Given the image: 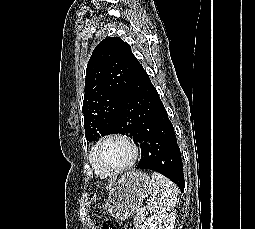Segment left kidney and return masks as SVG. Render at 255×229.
I'll return each mask as SVG.
<instances>
[{"label":"left kidney","instance_id":"5707ae66","mask_svg":"<svg viewBox=\"0 0 255 229\" xmlns=\"http://www.w3.org/2000/svg\"><path fill=\"white\" fill-rule=\"evenodd\" d=\"M174 213H157L144 222L141 229H174Z\"/></svg>","mask_w":255,"mask_h":229}]
</instances>
